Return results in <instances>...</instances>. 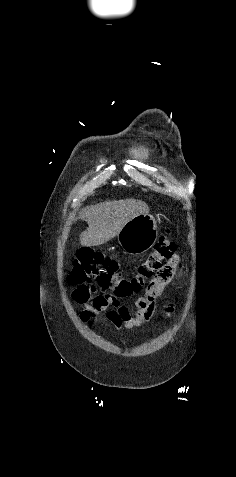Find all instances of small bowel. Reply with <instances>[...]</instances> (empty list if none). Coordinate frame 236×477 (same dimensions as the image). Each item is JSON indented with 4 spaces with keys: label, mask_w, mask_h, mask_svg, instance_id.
<instances>
[{
    "label": "small bowel",
    "mask_w": 236,
    "mask_h": 477,
    "mask_svg": "<svg viewBox=\"0 0 236 477\" xmlns=\"http://www.w3.org/2000/svg\"><path fill=\"white\" fill-rule=\"evenodd\" d=\"M162 293L159 291L148 290L144 296L136 299L134 308H113L109 303L102 301L101 297H97L92 304H83L80 319L94 325L96 318L105 313L107 321L115 328L124 327L126 329H134L150 320L157 312L156 298ZM172 304L168 303L163 306L165 313L171 312Z\"/></svg>",
    "instance_id": "1"
}]
</instances>
